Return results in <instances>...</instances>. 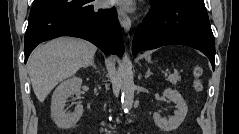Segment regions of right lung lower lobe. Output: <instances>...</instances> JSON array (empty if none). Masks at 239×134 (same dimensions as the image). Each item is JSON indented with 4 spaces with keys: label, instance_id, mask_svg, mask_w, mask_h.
I'll return each mask as SVG.
<instances>
[{
    "label": "right lung lower lobe",
    "instance_id": "1",
    "mask_svg": "<svg viewBox=\"0 0 239 134\" xmlns=\"http://www.w3.org/2000/svg\"><path fill=\"white\" fill-rule=\"evenodd\" d=\"M92 1L35 0L25 33V63L38 44L60 36L79 37L121 56L123 40L115 8L96 10Z\"/></svg>",
    "mask_w": 239,
    "mask_h": 134
}]
</instances>
